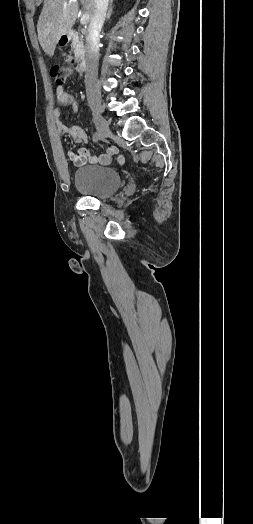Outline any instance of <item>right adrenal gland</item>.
Wrapping results in <instances>:
<instances>
[{
    "mask_svg": "<svg viewBox=\"0 0 253 524\" xmlns=\"http://www.w3.org/2000/svg\"><path fill=\"white\" fill-rule=\"evenodd\" d=\"M112 3H113V0H110V4H109V8H108V11H107V16H106V20H109L110 19V16L112 14Z\"/></svg>",
    "mask_w": 253,
    "mask_h": 524,
    "instance_id": "right-adrenal-gland-1",
    "label": "right adrenal gland"
}]
</instances>
